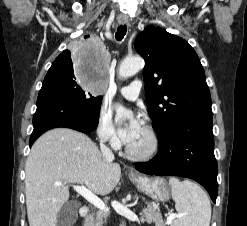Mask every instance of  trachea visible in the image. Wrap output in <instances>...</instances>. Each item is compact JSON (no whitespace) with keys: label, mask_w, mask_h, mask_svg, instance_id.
<instances>
[{"label":"trachea","mask_w":247,"mask_h":226,"mask_svg":"<svg viewBox=\"0 0 247 226\" xmlns=\"http://www.w3.org/2000/svg\"><path fill=\"white\" fill-rule=\"evenodd\" d=\"M126 32H127V27L126 25H120L117 29V32L115 34V38L118 40V41H121L124 36L126 35Z\"/></svg>","instance_id":"trachea-1"}]
</instances>
